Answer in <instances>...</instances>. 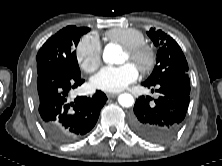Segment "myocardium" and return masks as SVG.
Listing matches in <instances>:
<instances>
[{"label":"myocardium","mask_w":222,"mask_h":166,"mask_svg":"<svg viewBox=\"0 0 222 166\" xmlns=\"http://www.w3.org/2000/svg\"><path fill=\"white\" fill-rule=\"evenodd\" d=\"M129 58L137 63L142 72L149 71L154 65V53L152 49L145 45L139 44L133 47L125 48Z\"/></svg>","instance_id":"f54148a6"}]
</instances>
